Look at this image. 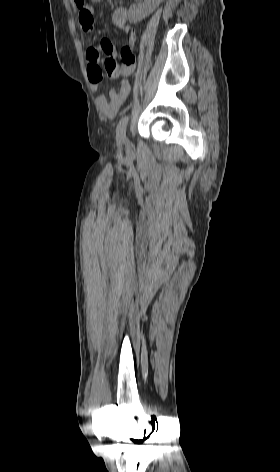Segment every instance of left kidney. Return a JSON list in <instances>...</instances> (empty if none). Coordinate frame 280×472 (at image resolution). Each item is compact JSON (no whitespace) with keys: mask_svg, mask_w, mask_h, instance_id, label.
<instances>
[{"mask_svg":"<svg viewBox=\"0 0 280 472\" xmlns=\"http://www.w3.org/2000/svg\"><path fill=\"white\" fill-rule=\"evenodd\" d=\"M162 0H144L143 3L134 4L129 9V21L136 23L150 15Z\"/></svg>","mask_w":280,"mask_h":472,"instance_id":"left-kidney-1","label":"left kidney"}]
</instances>
